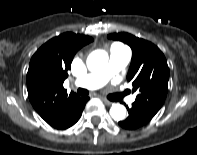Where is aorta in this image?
<instances>
[{
  "label": "aorta",
  "instance_id": "1",
  "mask_svg": "<svg viewBox=\"0 0 197 155\" xmlns=\"http://www.w3.org/2000/svg\"><path fill=\"white\" fill-rule=\"evenodd\" d=\"M108 63V54L104 50H95L89 54L87 58V67L92 72H98L103 70ZM111 117L120 121L123 120L126 116V108L121 104H113L110 108Z\"/></svg>",
  "mask_w": 197,
  "mask_h": 155
}]
</instances>
